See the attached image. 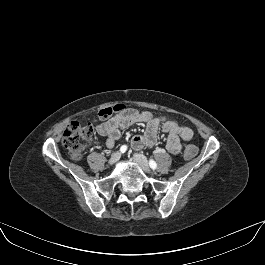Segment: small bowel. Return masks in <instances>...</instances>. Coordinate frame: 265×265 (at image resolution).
Instances as JSON below:
<instances>
[{
    "instance_id": "1",
    "label": "small bowel",
    "mask_w": 265,
    "mask_h": 265,
    "mask_svg": "<svg viewBox=\"0 0 265 265\" xmlns=\"http://www.w3.org/2000/svg\"><path fill=\"white\" fill-rule=\"evenodd\" d=\"M136 123H145L146 130L143 134L133 137L131 145L135 150L155 146L160 127L168 135L166 148L174 155L181 151V139L189 142L194 138V132L191 128L180 125L169 117H156L149 111L141 112L134 108H126L109 120L99 124L97 132L106 137L107 147L113 148L122 131Z\"/></svg>"
}]
</instances>
